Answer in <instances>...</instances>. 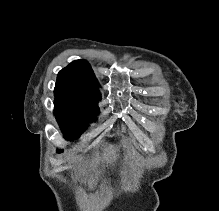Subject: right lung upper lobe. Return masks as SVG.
I'll use <instances>...</instances> for the list:
<instances>
[{
  "label": "right lung upper lobe",
  "instance_id": "1",
  "mask_svg": "<svg viewBox=\"0 0 219 211\" xmlns=\"http://www.w3.org/2000/svg\"><path fill=\"white\" fill-rule=\"evenodd\" d=\"M55 101L97 105L101 99L98 81L84 60L73 61L62 69L54 89Z\"/></svg>",
  "mask_w": 219,
  "mask_h": 211
}]
</instances>
